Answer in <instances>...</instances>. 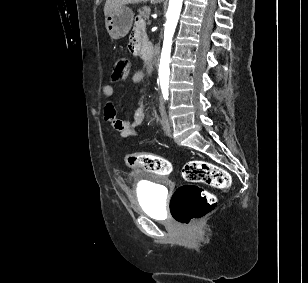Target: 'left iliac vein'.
Wrapping results in <instances>:
<instances>
[{"label":"left iliac vein","mask_w":308,"mask_h":283,"mask_svg":"<svg viewBox=\"0 0 308 283\" xmlns=\"http://www.w3.org/2000/svg\"><path fill=\"white\" fill-rule=\"evenodd\" d=\"M172 126V122L168 118V116L165 114L164 120H163V128L166 132H169Z\"/></svg>","instance_id":"1"}]
</instances>
